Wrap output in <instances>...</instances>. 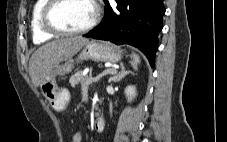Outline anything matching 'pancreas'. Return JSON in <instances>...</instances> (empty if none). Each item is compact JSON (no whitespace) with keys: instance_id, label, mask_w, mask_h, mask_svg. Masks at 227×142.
I'll return each mask as SVG.
<instances>
[{"instance_id":"obj_1","label":"pancreas","mask_w":227,"mask_h":142,"mask_svg":"<svg viewBox=\"0 0 227 142\" xmlns=\"http://www.w3.org/2000/svg\"><path fill=\"white\" fill-rule=\"evenodd\" d=\"M87 78L88 77L84 76L83 71L80 70L70 77L69 83L72 87H75L79 83L84 85L87 82Z\"/></svg>"}]
</instances>
